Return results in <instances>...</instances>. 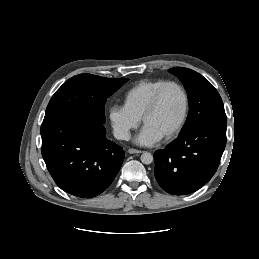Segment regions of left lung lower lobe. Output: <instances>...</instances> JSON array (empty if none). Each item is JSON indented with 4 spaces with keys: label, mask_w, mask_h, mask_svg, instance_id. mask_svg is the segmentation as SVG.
I'll return each mask as SVG.
<instances>
[{
    "label": "left lung lower lobe",
    "mask_w": 259,
    "mask_h": 259,
    "mask_svg": "<svg viewBox=\"0 0 259 259\" xmlns=\"http://www.w3.org/2000/svg\"><path fill=\"white\" fill-rule=\"evenodd\" d=\"M227 121L201 122L154 153L155 177L172 195L200 189L215 174L226 146Z\"/></svg>",
    "instance_id": "0a47b994"
}]
</instances>
